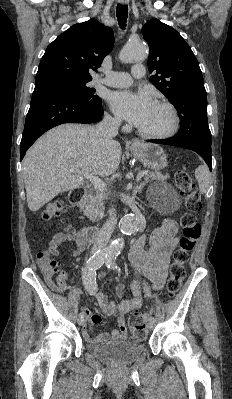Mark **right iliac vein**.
Segmentation results:
<instances>
[{"instance_id":"63e3f726","label":"right iliac vein","mask_w":232,"mask_h":399,"mask_svg":"<svg viewBox=\"0 0 232 399\" xmlns=\"http://www.w3.org/2000/svg\"><path fill=\"white\" fill-rule=\"evenodd\" d=\"M77 322H78V325H79V326H83V325H84V319H83V317L78 318V319H77Z\"/></svg>"}]
</instances>
